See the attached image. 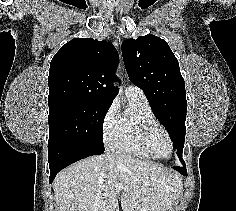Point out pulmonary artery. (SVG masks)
Wrapping results in <instances>:
<instances>
[{
  "mask_svg": "<svg viewBox=\"0 0 236 211\" xmlns=\"http://www.w3.org/2000/svg\"><path fill=\"white\" fill-rule=\"evenodd\" d=\"M125 96L127 98H145L143 91L134 85L127 86L125 89Z\"/></svg>",
  "mask_w": 236,
  "mask_h": 211,
  "instance_id": "1",
  "label": "pulmonary artery"
}]
</instances>
